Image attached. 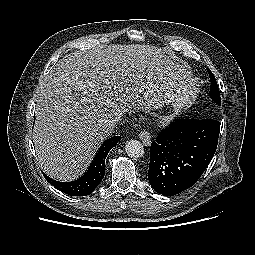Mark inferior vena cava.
Masks as SVG:
<instances>
[{
    "mask_svg": "<svg viewBox=\"0 0 255 255\" xmlns=\"http://www.w3.org/2000/svg\"><path fill=\"white\" fill-rule=\"evenodd\" d=\"M122 115L123 113H121L120 115H118L117 117H115L113 120H112V130L114 129L115 127V123L119 122L122 120Z\"/></svg>",
    "mask_w": 255,
    "mask_h": 255,
    "instance_id": "inferior-vena-cava-1",
    "label": "inferior vena cava"
}]
</instances>
